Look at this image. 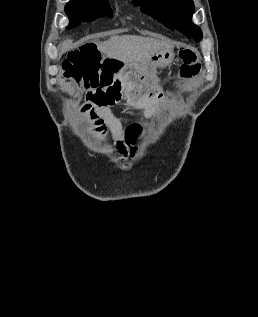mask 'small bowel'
<instances>
[{
    "instance_id": "c3829d8e",
    "label": "small bowel",
    "mask_w": 258,
    "mask_h": 317,
    "mask_svg": "<svg viewBox=\"0 0 258 317\" xmlns=\"http://www.w3.org/2000/svg\"><path fill=\"white\" fill-rule=\"evenodd\" d=\"M82 112L87 116L92 131L98 138L104 139L107 135H110L122 157L136 155L137 148L135 144L138 137L143 133L142 124L134 123L123 128L118 120L102 116L96 108L88 103L82 107Z\"/></svg>"
}]
</instances>
